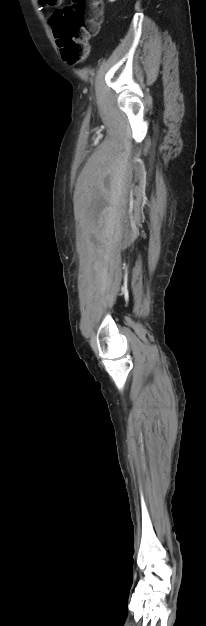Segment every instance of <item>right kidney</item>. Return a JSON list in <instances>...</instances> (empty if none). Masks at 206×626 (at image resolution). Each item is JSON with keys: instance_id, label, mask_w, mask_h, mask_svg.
<instances>
[{"instance_id": "obj_1", "label": "right kidney", "mask_w": 206, "mask_h": 626, "mask_svg": "<svg viewBox=\"0 0 206 626\" xmlns=\"http://www.w3.org/2000/svg\"><path fill=\"white\" fill-rule=\"evenodd\" d=\"M110 2H114L115 0H109Z\"/></svg>"}]
</instances>
